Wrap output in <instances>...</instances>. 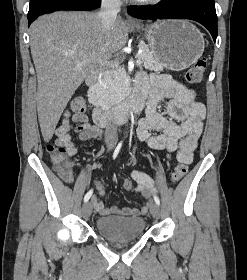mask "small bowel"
<instances>
[{"mask_svg":"<svg viewBox=\"0 0 247 280\" xmlns=\"http://www.w3.org/2000/svg\"><path fill=\"white\" fill-rule=\"evenodd\" d=\"M137 88L149 93L146 115L139 121L136 130L139 140L146 142L153 149L165 150L169 159L173 153H176L178 162L185 165L190 164L203 131L205 117V107L196 100V91L166 74L148 76L140 73L137 76ZM163 99L169 100L166 115L157 110L158 103ZM71 131H74L83 141L97 137L100 132L99 128L90 123L84 114H74L71 117L63 118L56 127L54 135L56 143L63 146L69 156L77 153ZM152 132L158 133L153 134ZM63 180L72 183V172ZM131 180L136 183L135 190L144 197H149L154 191L152 179L144 172L132 171ZM96 190L97 195L92 197L91 205L101 216L113 214L127 217L139 216L148 211V203L139 209L107 207L101 200L106 189L99 181L96 182Z\"/></svg>","mask_w":247,"mask_h":280,"instance_id":"1","label":"small bowel"}]
</instances>
